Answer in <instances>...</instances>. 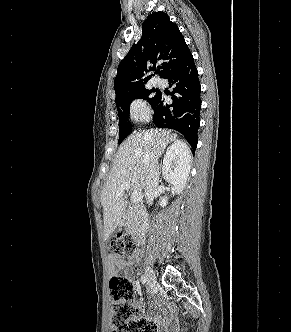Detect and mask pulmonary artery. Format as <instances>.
<instances>
[{
	"label": "pulmonary artery",
	"instance_id": "pulmonary-artery-1",
	"mask_svg": "<svg viewBox=\"0 0 291 332\" xmlns=\"http://www.w3.org/2000/svg\"><path fill=\"white\" fill-rule=\"evenodd\" d=\"M155 83L158 85V86H162L164 84V81L162 79H156Z\"/></svg>",
	"mask_w": 291,
	"mask_h": 332
}]
</instances>
